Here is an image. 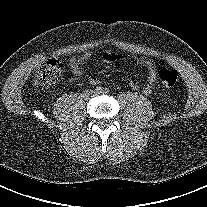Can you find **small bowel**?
I'll list each match as a JSON object with an SVG mask.
<instances>
[{"mask_svg": "<svg viewBox=\"0 0 207 207\" xmlns=\"http://www.w3.org/2000/svg\"><path fill=\"white\" fill-rule=\"evenodd\" d=\"M89 58H90V54L84 53L83 55H81L79 57H75V58L70 59L69 67H70L71 73L75 76H80L82 74V65L84 63H86L89 60ZM121 58L122 57L119 54L111 52V51L106 52L104 54V60L106 62H116V61L120 60ZM136 62L140 66L144 67L148 72V82L144 86L143 92L145 95H150V94H152V92L154 90L155 83H156L157 68L152 61L147 60V59L138 58V59H136ZM90 82L92 84H95L97 81L95 79H90ZM128 85L134 90L138 88V83L134 79H130L128 81Z\"/></svg>", "mask_w": 207, "mask_h": 207, "instance_id": "obj_1", "label": "small bowel"}]
</instances>
